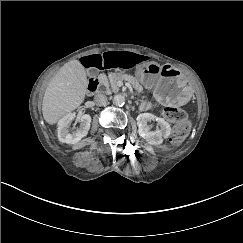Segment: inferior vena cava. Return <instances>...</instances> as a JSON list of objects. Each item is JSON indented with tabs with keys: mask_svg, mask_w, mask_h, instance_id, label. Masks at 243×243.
I'll use <instances>...</instances> for the list:
<instances>
[{
	"mask_svg": "<svg viewBox=\"0 0 243 243\" xmlns=\"http://www.w3.org/2000/svg\"><path fill=\"white\" fill-rule=\"evenodd\" d=\"M94 102L96 103V105L104 106L107 103V97L104 94H97L94 97Z\"/></svg>",
	"mask_w": 243,
	"mask_h": 243,
	"instance_id": "obj_1",
	"label": "inferior vena cava"
}]
</instances>
